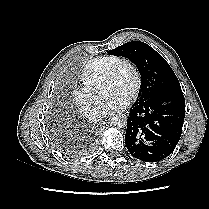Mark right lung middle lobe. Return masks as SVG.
<instances>
[{"mask_svg": "<svg viewBox=\"0 0 209 209\" xmlns=\"http://www.w3.org/2000/svg\"><path fill=\"white\" fill-rule=\"evenodd\" d=\"M55 144L62 152L68 154L82 153L84 151L82 147L72 145L63 137L55 138Z\"/></svg>", "mask_w": 209, "mask_h": 209, "instance_id": "obj_1", "label": "right lung middle lobe"}]
</instances>
